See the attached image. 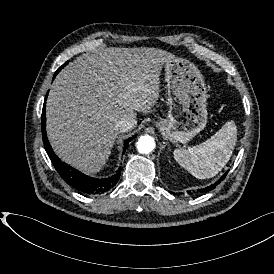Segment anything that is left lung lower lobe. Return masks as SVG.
Here are the masks:
<instances>
[{"instance_id": "obj_1", "label": "left lung lower lobe", "mask_w": 274, "mask_h": 274, "mask_svg": "<svg viewBox=\"0 0 274 274\" xmlns=\"http://www.w3.org/2000/svg\"><path fill=\"white\" fill-rule=\"evenodd\" d=\"M229 171V170H228ZM228 171L221 177V180H224V178L226 177V175H227V173H228ZM220 183V180L219 181H217L215 184H212V185H210V186H208V187H206L205 189H203L202 191L203 192H205V191H210V190H213L214 188H215V185H217V184H219ZM198 191H200L201 192V190H198Z\"/></svg>"}]
</instances>
